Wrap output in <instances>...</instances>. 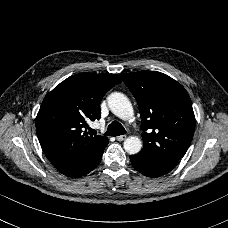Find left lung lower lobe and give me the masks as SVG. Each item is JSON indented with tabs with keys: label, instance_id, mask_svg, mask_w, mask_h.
Returning <instances> with one entry per match:
<instances>
[{
	"label": "left lung lower lobe",
	"instance_id": "obj_1",
	"mask_svg": "<svg viewBox=\"0 0 228 228\" xmlns=\"http://www.w3.org/2000/svg\"><path fill=\"white\" fill-rule=\"evenodd\" d=\"M133 167L140 173L148 177H159L170 172L176 163L155 162L140 156L139 154L130 156Z\"/></svg>",
	"mask_w": 228,
	"mask_h": 228
}]
</instances>
